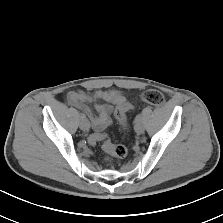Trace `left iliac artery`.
I'll use <instances>...</instances> for the list:
<instances>
[{"mask_svg": "<svg viewBox=\"0 0 223 223\" xmlns=\"http://www.w3.org/2000/svg\"><path fill=\"white\" fill-rule=\"evenodd\" d=\"M142 120V116L141 114H138L136 117H135V122H138V121H141Z\"/></svg>", "mask_w": 223, "mask_h": 223, "instance_id": "left-iliac-artery-1", "label": "left iliac artery"}]
</instances>
